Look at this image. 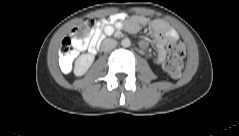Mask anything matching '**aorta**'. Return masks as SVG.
Segmentation results:
<instances>
[{
  "instance_id": "obj_1",
  "label": "aorta",
  "mask_w": 239,
  "mask_h": 136,
  "mask_svg": "<svg viewBox=\"0 0 239 136\" xmlns=\"http://www.w3.org/2000/svg\"><path fill=\"white\" fill-rule=\"evenodd\" d=\"M121 45H122L123 47H129V46L131 45V42H130V40H129L128 38H125V39H123V40L121 41Z\"/></svg>"
}]
</instances>
